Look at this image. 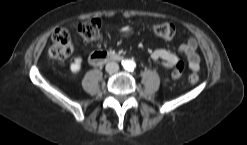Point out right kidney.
Here are the masks:
<instances>
[{
    "instance_id": "ca27d5eb",
    "label": "right kidney",
    "mask_w": 247,
    "mask_h": 145,
    "mask_svg": "<svg viewBox=\"0 0 247 145\" xmlns=\"http://www.w3.org/2000/svg\"><path fill=\"white\" fill-rule=\"evenodd\" d=\"M82 59L77 57L74 59V62L70 64V70L73 74H77L81 69Z\"/></svg>"
}]
</instances>
